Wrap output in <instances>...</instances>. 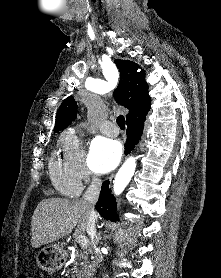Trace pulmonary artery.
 <instances>
[{
    "instance_id": "obj_1",
    "label": "pulmonary artery",
    "mask_w": 221,
    "mask_h": 278,
    "mask_svg": "<svg viewBox=\"0 0 221 278\" xmlns=\"http://www.w3.org/2000/svg\"><path fill=\"white\" fill-rule=\"evenodd\" d=\"M101 131L108 136H117L119 134V129L112 122H106L102 125Z\"/></svg>"
}]
</instances>
